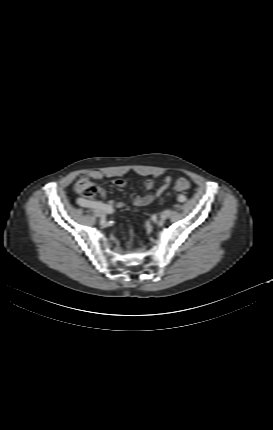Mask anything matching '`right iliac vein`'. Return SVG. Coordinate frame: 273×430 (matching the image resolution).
Returning <instances> with one entry per match:
<instances>
[{
	"label": "right iliac vein",
	"mask_w": 273,
	"mask_h": 430,
	"mask_svg": "<svg viewBox=\"0 0 273 430\" xmlns=\"http://www.w3.org/2000/svg\"><path fill=\"white\" fill-rule=\"evenodd\" d=\"M94 213L97 217H99L101 219H105V217H106L105 213L100 209H95Z\"/></svg>",
	"instance_id": "obj_1"
}]
</instances>
